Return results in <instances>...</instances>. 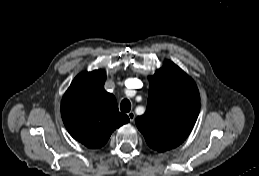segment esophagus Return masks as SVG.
I'll return each mask as SVG.
<instances>
[{
	"label": "esophagus",
	"mask_w": 259,
	"mask_h": 176,
	"mask_svg": "<svg viewBox=\"0 0 259 176\" xmlns=\"http://www.w3.org/2000/svg\"><path fill=\"white\" fill-rule=\"evenodd\" d=\"M128 117H129L130 121L133 122L135 120V113L133 111H130L128 113Z\"/></svg>",
	"instance_id": "1"
}]
</instances>
